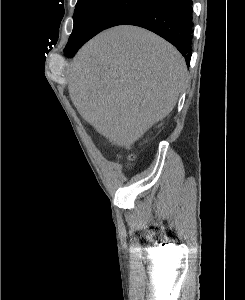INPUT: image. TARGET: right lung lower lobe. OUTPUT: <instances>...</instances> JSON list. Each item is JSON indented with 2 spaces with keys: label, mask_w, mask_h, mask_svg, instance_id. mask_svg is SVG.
<instances>
[{
  "label": "right lung lower lobe",
  "mask_w": 245,
  "mask_h": 300,
  "mask_svg": "<svg viewBox=\"0 0 245 300\" xmlns=\"http://www.w3.org/2000/svg\"><path fill=\"white\" fill-rule=\"evenodd\" d=\"M192 5V0H157L124 25L143 27L163 37L180 51L189 65L192 46ZM82 45L65 50V55L73 57Z\"/></svg>",
  "instance_id": "1"
}]
</instances>
